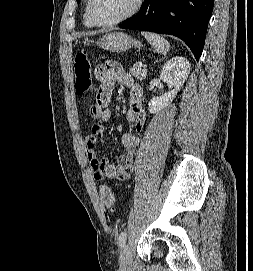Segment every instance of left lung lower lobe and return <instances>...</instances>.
I'll return each instance as SVG.
<instances>
[{"mask_svg": "<svg viewBox=\"0 0 253 271\" xmlns=\"http://www.w3.org/2000/svg\"><path fill=\"white\" fill-rule=\"evenodd\" d=\"M214 0H144L120 28L170 34L182 39L196 60L201 56Z\"/></svg>", "mask_w": 253, "mask_h": 271, "instance_id": "obj_1", "label": "left lung lower lobe"}]
</instances>
